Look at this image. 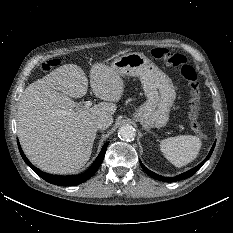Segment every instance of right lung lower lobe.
Returning <instances> with one entry per match:
<instances>
[{
    "instance_id": "98d812e1",
    "label": "right lung lower lobe",
    "mask_w": 233,
    "mask_h": 233,
    "mask_svg": "<svg viewBox=\"0 0 233 233\" xmlns=\"http://www.w3.org/2000/svg\"><path fill=\"white\" fill-rule=\"evenodd\" d=\"M107 145H108V143H106L103 146L100 154L98 155V157L96 158L94 163L91 165V167L86 172L82 173L81 175L60 176V175H51V174L44 173V172L40 171L38 168H36L35 166H33L29 162V160L26 158V156L24 155V153L20 147V144L18 142L20 154H21L23 160L26 162V164L28 166H30L32 168V170L35 171L41 178H43L44 180H46L49 183L59 185V186L78 185L80 183L85 182L90 177H92L94 175V173L98 170V168L100 167V165L104 159Z\"/></svg>"
}]
</instances>
